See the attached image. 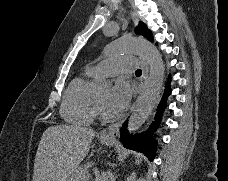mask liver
Wrapping results in <instances>:
<instances>
[{"label":"liver","instance_id":"1","mask_svg":"<svg viewBox=\"0 0 228 181\" xmlns=\"http://www.w3.org/2000/svg\"><path fill=\"white\" fill-rule=\"evenodd\" d=\"M94 137L87 127H48L38 145L32 181H66L87 157Z\"/></svg>","mask_w":228,"mask_h":181}]
</instances>
